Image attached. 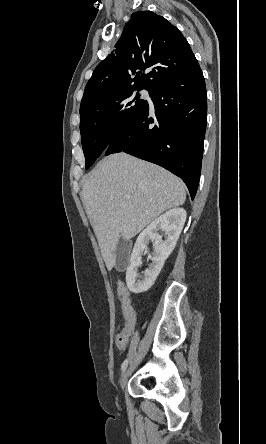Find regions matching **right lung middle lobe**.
I'll return each instance as SVG.
<instances>
[{
    "mask_svg": "<svg viewBox=\"0 0 266 444\" xmlns=\"http://www.w3.org/2000/svg\"><path fill=\"white\" fill-rule=\"evenodd\" d=\"M134 90L116 91L80 108V132L86 169L123 129L147 110L148 102L140 99L138 93L135 95Z\"/></svg>",
    "mask_w": 266,
    "mask_h": 444,
    "instance_id": "right-lung-middle-lobe-1",
    "label": "right lung middle lobe"
}]
</instances>
